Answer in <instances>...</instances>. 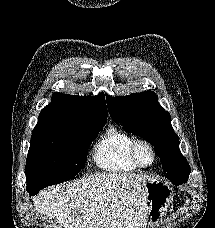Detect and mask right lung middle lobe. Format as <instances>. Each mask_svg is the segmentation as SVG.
I'll return each mask as SVG.
<instances>
[{"label": "right lung middle lobe", "instance_id": "dd1d6c3e", "mask_svg": "<svg viewBox=\"0 0 215 228\" xmlns=\"http://www.w3.org/2000/svg\"><path fill=\"white\" fill-rule=\"evenodd\" d=\"M105 123L57 127L32 133L25 167L27 191L73 179L84 168L87 151Z\"/></svg>", "mask_w": 215, "mask_h": 228}]
</instances>
